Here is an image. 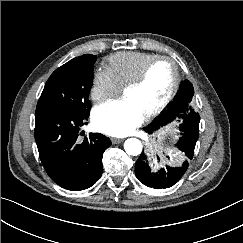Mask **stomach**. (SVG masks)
I'll return each instance as SVG.
<instances>
[{
    "label": "stomach",
    "mask_w": 243,
    "mask_h": 243,
    "mask_svg": "<svg viewBox=\"0 0 243 243\" xmlns=\"http://www.w3.org/2000/svg\"><path fill=\"white\" fill-rule=\"evenodd\" d=\"M169 130L170 129H166L158 134V141L155 142L154 149L159 153L162 152V149L165 147V135Z\"/></svg>",
    "instance_id": "0dacf381"
}]
</instances>
